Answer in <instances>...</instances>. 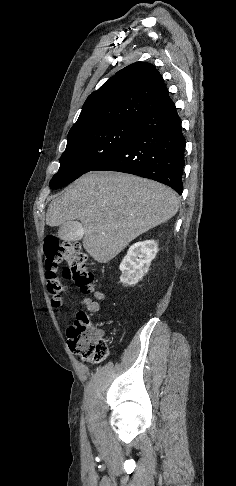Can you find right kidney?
Returning a JSON list of instances; mask_svg holds the SVG:
<instances>
[{"label": "right kidney", "mask_w": 236, "mask_h": 486, "mask_svg": "<svg viewBox=\"0 0 236 486\" xmlns=\"http://www.w3.org/2000/svg\"><path fill=\"white\" fill-rule=\"evenodd\" d=\"M157 252L158 244L154 240L133 244L119 266L120 282L128 286L136 285L149 270Z\"/></svg>", "instance_id": "ca27d5eb"}]
</instances>
